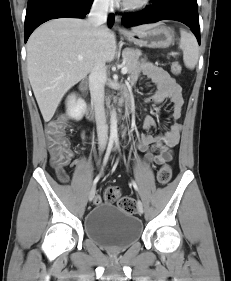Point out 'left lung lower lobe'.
I'll return each instance as SVG.
<instances>
[{"label":"left lung lower lobe","mask_w":231,"mask_h":281,"mask_svg":"<svg viewBox=\"0 0 231 281\" xmlns=\"http://www.w3.org/2000/svg\"><path fill=\"white\" fill-rule=\"evenodd\" d=\"M176 20L191 28L200 44L198 5L196 0H154L148 9L141 13L125 14L124 26L154 23L160 20Z\"/></svg>","instance_id":"0a47b994"}]
</instances>
